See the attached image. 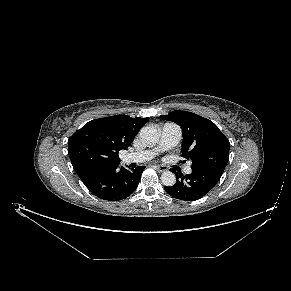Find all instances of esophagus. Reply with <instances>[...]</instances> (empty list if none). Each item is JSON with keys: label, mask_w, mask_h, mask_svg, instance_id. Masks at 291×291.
Instances as JSON below:
<instances>
[{"label": "esophagus", "mask_w": 291, "mask_h": 291, "mask_svg": "<svg viewBox=\"0 0 291 291\" xmlns=\"http://www.w3.org/2000/svg\"><path fill=\"white\" fill-rule=\"evenodd\" d=\"M155 168L158 172H165L167 170V168L163 165L155 166Z\"/></svg>", "instance_id": "obj_1"}]
</instances>
